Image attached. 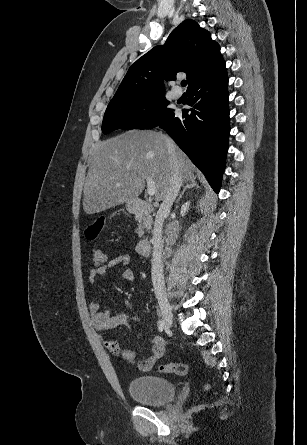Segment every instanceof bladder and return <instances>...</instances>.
<instances>
[{
	"label": "bladder",
	"mask_w": 307,
	"mask_h": 445,
	"mask_svg": "<svg viewBox=\"0 0 307 445\" xmlns=\"http://www.w3.org/2000/svg\"><path fill=\"white\" fill-rule=\"evenodd\" d=\"M130 396L148 406H160L171 401L176 386L170 380L159 376L142 375L133 378L128 385Z\"/></svg>",
	"instance_id": "obj_1"
}]
</instances>
